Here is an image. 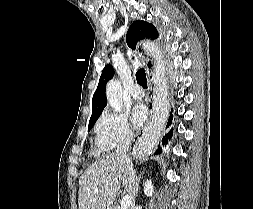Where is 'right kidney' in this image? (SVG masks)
<instances>
[{"label":"right kidney","mask_w":253,"mask_h":209,"mask_svg":"<svg viewBox=\"0 0 253 209\" xmlns=\"http://www.w3.org/2000/svg\"><path fill=\"white\" fill-rule=\"evenodd\" d=\"M144 193L147 197H151L153 195V186L151 180H146L144 184Z\"/></svg>","instance_id":"right-kidney-1"}]
</instances>
